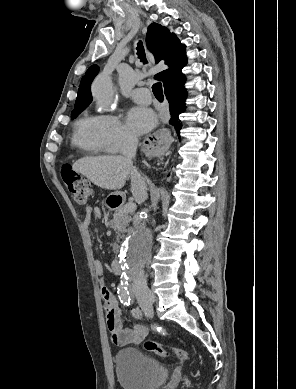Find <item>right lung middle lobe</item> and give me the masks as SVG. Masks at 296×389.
Here are the masks:
<instances>
[{
    "label": "right lung middle lobe",
    "mask_w": 296,
    "mask_h": 389,
    "mask_svg": "<svg viewBox=\"0 0 296 389\" xmlns=\"http://www.w3.org/2000/svg\"><path fill=\"white\" fill-rule=\"evenodd\" d=\"M86 107H82V108H78V109H75L72 113H71V118H75L81 111H83Z\"/></svg>",
    "instance_id": "obj_1"
}]
</instances>
